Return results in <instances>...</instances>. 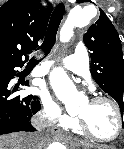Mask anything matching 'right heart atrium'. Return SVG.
<instances>
[{"instance_id": "right-heart-atrium-1", "label": "right heart atrium", "mask_w": 124, "mask_h": 149, "mask_svg": "<svg viewBox=\"0 0 124 149\" xmlns=\"http://www.w3.org/2000/svg\"><path fill=\"white\" fill-rule=\"evenodd\" d=\"M43 105V114L48 118L59 120L63 127H68L70 124L75 122V119L65 115L54 101L45 99Z\"/></svg>"}]
</instances>
